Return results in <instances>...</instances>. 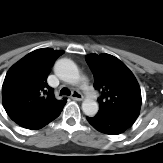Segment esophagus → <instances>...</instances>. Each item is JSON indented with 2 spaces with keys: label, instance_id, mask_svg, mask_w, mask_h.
<instances>
[{
  "label": "esophagus",
  "instance_id": "34e87169",
  "mask_svg": "<svg viewBox=\"0 0 163 163\" xmlns=\"http://www.w3.org/2000/svg\"><path fill=\"white\" fill-rule=\"evenodd\" d=\"M71 98L76 101H81L84 97L79 91H73L71 94Z\"/></svg>",
  "mask_w": 163,
  "mask_h": 163
}]
</instances>
